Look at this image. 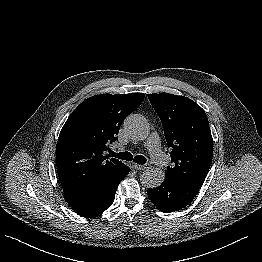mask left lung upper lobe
I'll return each mask as SVG.
<instances>
[{
	"mask_svg": "<svg viewBox=\"0 0 262 262\" xmlns=\"http://www.w3.org/2000/svg\"><path fill=\"white\" fill-rule=\"evenodd\" d=\"M148 98L162 121L172 167L170 179L200 189L212 162L213 139L205 111L184 96L149 94Z\"/></svg>",
	"mask_w": 262,
	"mask_h": 262,
	"instance_id": "obj_1",
	"label": "left lung upper lobe"
}]
</instances>
